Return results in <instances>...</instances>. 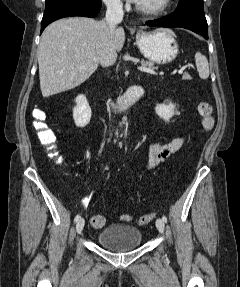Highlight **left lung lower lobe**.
<instances>
[{"label": "left lung lower lobe", "mask_w": 240, "mask_h": 287, "mask_svg": "<svg viewBox=\"0 0 240 287\" xmlns=\"http://www.w3.org/2000/svg\"><path fill=\"white\" fill-rule=\"evenodd\" d=\"M152 27H182L208 39V25L204 15L203 0H179L178 7L170 15L147 21Z\"/></svg>", "instance_id": "obj_1"}]
</instances>
